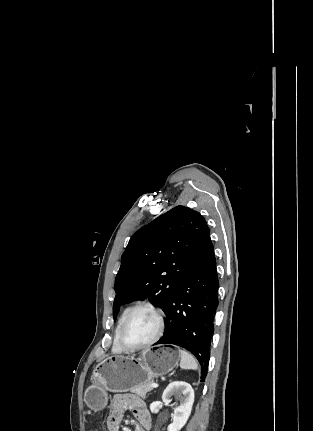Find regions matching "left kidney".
<instances>
[{
  "label": "left kidney",
  "mask_w": 313,
  "mask_h": 431,
  "mask_svg": "<svg viewBox=\"0 0 313 431\" xmlns=\"http://www.w3.org/2000/svg\"><path fill=\"white\" fill-rule=\"evenodd\" d=\"M175 395L180 400V405L174 408L173 422L168 426V431H180L186 424L194 402V391L190 384L183 381L170 383L164 390L162 400L170 403L171 396Z\"/></svg>",
  "instance_id": "obj_1"
}]
</instances>
